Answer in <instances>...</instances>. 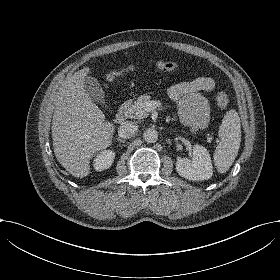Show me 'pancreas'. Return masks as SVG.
Segmentation results:
<instances>
[{"instance_id": "pancreas-1", "label": "pancreas", "mask_w": 280, "mask_h": 280, "mask_svg": "<svg viewBox=\"0 0 280 280\" xmlns=\"http://www.w3.org/2000/svg\"><path fill=\"white\" fill-rule=\"evenodd\" d=\"M150 102V97L146 95L140 96L133 105L130 103H125V107L128 108V114L131 118L141 119L147 117L148 114L145 112V105ZM213 137H208L207 141L211 142Z\"/></svg>"}]
</instances>
